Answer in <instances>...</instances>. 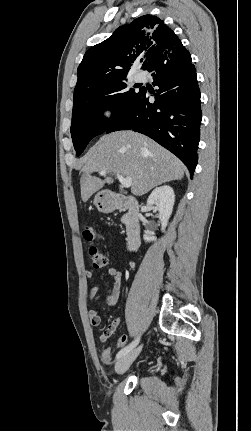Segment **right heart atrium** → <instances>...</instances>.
<instances>
[{"label":"right heart atrium","instance_id":"d8ad5b80","mask_svg":"<svg viewBox=\"0 0 251 431\" xmlns=\"http://www.w3.org/2000/svg\"><path fill=\"white\" fill-rule=\"evenodd\" d=\"M99 114H100V117H101L102 120L107 121V120H109V119L112 118V116H113V110H112V108L110 106L106 105V106H103L100 109Z\"/></svg>","mask_w":251,"mask_h":431}]
</instances>
